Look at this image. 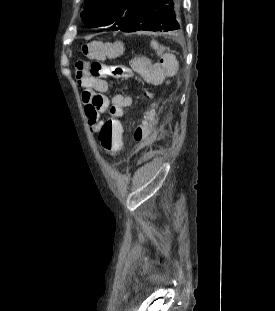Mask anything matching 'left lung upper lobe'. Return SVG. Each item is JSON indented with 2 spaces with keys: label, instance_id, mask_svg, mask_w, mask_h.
Here are the masks:
<instances>
[{
  "label": "left lung upper lobe",
  "instance_id": "5c2ea615",
  "mask_svg": "<svg viewBox=\"0 0 275 311\" xmlns=\"http://www.w3.org/2000/svg\"><path fill=\"white\" fill-rule=\"evenodd\" d=\"M144 0H85L81 18L90 27L111 26L114 31L123 27Z\"/></svg>",
  "mask_w": 275,
  "mask_h": 311
}]
</instances>
